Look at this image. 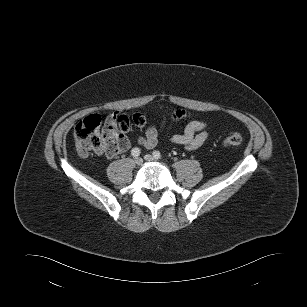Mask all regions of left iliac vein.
I'll list each match as a JSON object with an SVG mask.
<instances>
[{
  "label": "left iliac vein",
  "mask_w": 307,
  "mask_h": 307,
  "mask_svg": "<svg viewBox=\"0 0 307 307\" xmlns=\"http://www.w3.org/2000/svg\"><path fill=\"white\" fill-rule=\"evenodd\" d=\"M144 159L146 160V161H149V162H151V161H155L156 160V158H154L152 155H150V154H146L145 156H144Z\"/></svg>",
  "instance_id": "1"
}]
</instances>
